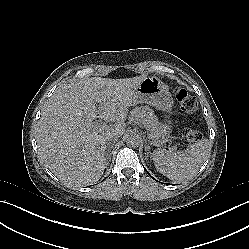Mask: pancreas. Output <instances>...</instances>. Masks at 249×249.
Masks as SVG:
<instances>
[{"label":"pancreas","mask_w":249,"mask_h":249,"mask_svg":"<svg viewBox=\"0 0 249 249\" xmlns=\"http://www.w3.org/2000/svg\"><path fill=\"white\" fill-rule=\"evenodd\" d=\"M130 118L142 124L151 133L153 139L159 140L164 138V126L149 107H136L131 112Z\"/></svg>","instance_id":"obj_1"}]
</instances>
